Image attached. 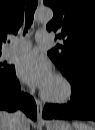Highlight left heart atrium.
<instances>
[{"instance_id": "obj_1", "label": "left heart atrium", "mask_w": 95, "mask_h": 130, "mask_svg": "<svg viewBox=\"0 0 95 130\" xmlns=\"http://www.w3.org/2000/svg\"><path fill=\"white\" fill-rule=\"evenodd\" d=\"M17 74L26 83L44 89L53 78L47 58L37 51L21 57L17 63Z\"/></svg>"}]
</instances>
